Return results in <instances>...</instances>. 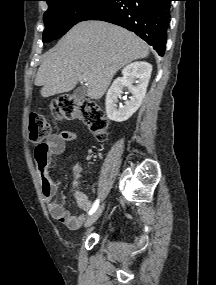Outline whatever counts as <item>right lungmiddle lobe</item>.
Masks as SVG:
<instances>
[{
  "instance_id": "right-lung-middle-lobe-1",
  "label": "right lung middle lobe",
  "mask_w": 216,
  "mask_h": 285,
  "mask_svg": "<svg viewBox=\"0 0 216 285\" xmlns=\"http://www.w3.org/2000/svg\"><path fill=\"white\" fill-rule=\"evenodd\" d=\"M109 0H51L44 13L43 42L62 37L72 26L83 21Z\"/></svg>"
}]
</instances>
